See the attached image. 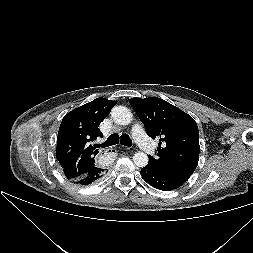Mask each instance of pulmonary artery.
Masks as SVG:
<instances>
[{
    "label": "pulmonary artery",
    "mask_w": 253,
    "mask_h": 253,
    "mask_svg": "<svg viewBox=\"0 0 253 253\" xmlns=\"http://www.w3.org/2000/svg\"><path fill=\"white\" fill-rule=\"evenodd\" d=\"M132 135L142 150L147 153H152L154 151V147L149 138L146 136L141 125L136 124L133 126Z\"/></svg>",
    "instance_id": "obj_1"
}]
</instances>
